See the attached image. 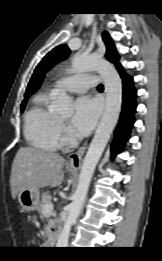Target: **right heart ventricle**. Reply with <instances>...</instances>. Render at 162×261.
I'll list each match as a JSON object with an SVG mask.
<instances>
[{"label":"right heart ventricle","mask_w":162,"mask_h":261,"mask_svg":"<svg viewBox=\"0 0 162 261\" xmlns=\"http://www.w3.org/2000/svg\"><path fill=\"white\" fill-rule=\"evenodd\" d=\"M24 133L31 146L47 151L58 148V117L49 110L45 94H37L25 115Z\"/></svg>","instance_id":"obj_1"}]
</instances>
